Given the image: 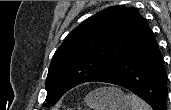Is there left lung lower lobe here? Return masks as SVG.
<instances>
[{
  "label": "left lung lower lobe",
  "instance_id": "left-lung-lower-lobe-1",
  "mask_svg": "<svg viewBox=\"0 0 171 110\" xmlns=\"http://www.w3.org/2000/svg\"><path fill=\"white\" fill-rule=\"evenodd\" d=\"M94 81L122 86L154 110H167V74L151 29L116 66Z\"/></svg>",
  "mask_w": 171,
  "mask_h": 110
}]
</instances>
